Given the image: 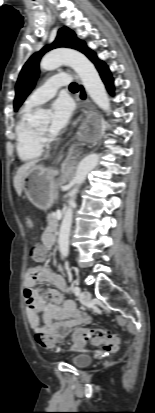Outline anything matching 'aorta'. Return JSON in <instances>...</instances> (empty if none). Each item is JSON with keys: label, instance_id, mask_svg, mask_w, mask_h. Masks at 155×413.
<instances>
[{"label": "aorta", "instance_id": "762f6f07", "mask_svg": "<svg viewBox=\"0 0 155 413\" xmlns=\"http://www.w3.org/2000/svg\"><path fill=\"white\" fill-rule=\"evenodd\" d=\"M62 64L69 65L81 79L86 92L97 106L110 112V100L104 84L89 59L82 53L71 49H56L45 55L40 63L43 70L49 71L58 68ZM46 118L43 109H36L33 122L40 124ZM100 155L92 153L83 158L77 166L73 179L74 188L68 193V206L64 210V217L59 233V250L63 257L69 254V236L73 220V208L76 205L75 199L80 186L84 183L87 175L98 165Z\"/></svg>", "mask_w": 155, "mask_h": 413}]
</instances>
